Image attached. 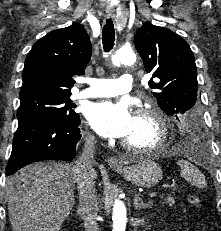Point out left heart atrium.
I'll list each match as a JSON object with an SVG mask.
<instances>
[{
  "label": "left heart atrium",
  "instance_id": "1",
  "mask_svg": "<svg viewBox=\"0 0 221 231\" xmlns=\"http://www.w3.org/2000/svg\"><path fill=\"white\" fill-rule=\"evenodd\" d=\"M87 119L95 131L106 138H124L134 125V116L123 102L94 103L89 107Z\"/></svg>",
  "mask_w": 221,
  "mask_h": 231
}]
</instances>
